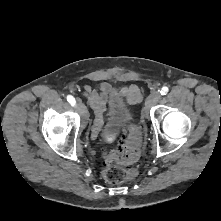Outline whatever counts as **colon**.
Wrapping results in <instances>:
<instances>
[{
	"label": "colon",
	"mask_w": 221,
	"mask_h": 221,
	"mask_svg": "<svg viewBox=\"0 0 221 221\" xmlns=\"http://www.w3.org/2000/svg\"><path fill=\"white\" fill-rule=\"evenodd\" d=\"M141 133L136 127H130L122 136L117 149L104 152L103 179L111 184H118L134 178L136 168H125L123 165L135 163L139 157Z\"/></svg>",
	"instance_id": "5ec220e1"
}]
</instances>
